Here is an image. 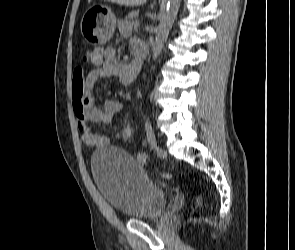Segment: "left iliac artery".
Here are the masks:
<instances>
[{
    "instance_id": "left-iliac-artery-1",
    "label": "left iliac artery",
    "mask_w": 295,
    "mask_h": 250,
    "mask_svg": "<svg viewBox=\"0 0 295 250\" xmlns=\"http://www.w3.org/2000/svg\"><path fill=\"white\" fill-rule=\"evenodd\" d=\"M145 131L147 135V141L152 149L156 146V138L153 132L152 126L148 118H145Z\"/></svg>"
}]
</instances>
